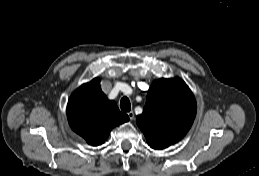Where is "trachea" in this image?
<instances>
[{"label": "trachea", "mask_w": 259, "mask_h": 176, "mask_svg": "<svg viewBox=\"0 0 259 176\" xmlns=\"http://www.w3.org/2000/svg\"><path fill=\"white\" fill-rule=\"evenodd\" d=\"M121 110L128 112L131 110V104L127 97H123L120 101Z\"/></svg>", "instance_id": "obj_1"}]
</instances>
